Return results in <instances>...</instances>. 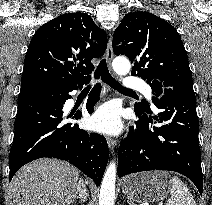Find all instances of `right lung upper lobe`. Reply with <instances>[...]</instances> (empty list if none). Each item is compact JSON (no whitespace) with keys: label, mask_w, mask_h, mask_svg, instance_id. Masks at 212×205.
<instances>
[{"label":"right lung upper lobe","mask_w":212,"mask_h":205,"mask_svg":"<svg viewBox=\"0 0 212 205\" xmlns=\"http://www.w3.org/2000/svg\"><path fill=\"white\" fill-rule=\"evenodd\" d=\"M107 37L85 13H67L42 25L25 55L21 90L44 83L89 79L93 58L101 57Z\"/></svg>","instance_id":"right-lung-upper-lobe-1"}]
</instances>
